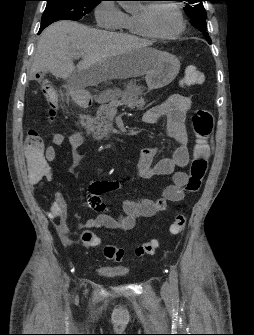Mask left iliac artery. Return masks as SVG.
Masks as SVG:
<instances>
[{
	"mask_svg": "<svg viewBox=\"0 0 254 335\" xmlns=\"http://www.w3.org/2000/svg\"><path fill=\"white\" fill-rule=\"evenodd\" d=\"M170 283H171V290L174 297H178V278L177 272L172 267L170 272Z\"/></svg>",
	"mask_w": 254,
	"mask_h": 335,
	"instance_id": "44dca946",
	"label": "left iliac artery"
}]
</instances>
